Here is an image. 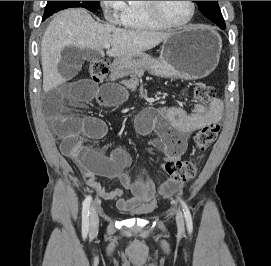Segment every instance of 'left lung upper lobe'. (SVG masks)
<instances>
[{"label": "left lung upper lobe", "mask_w": 271, "mask_h": 266, "mask_svg": "<svg viewBox=\"0 0 271 266\" xmlns=\"http://www.w3.org/2000/svg\"><path fill=\"white\" fill-rule=\"evenodd\" d=\"M198 5L200 12L217 24L220 28H224L225 22L221 14L218 1H195Z\"/></svg>", "instance_id": "1"}]
</instances>
